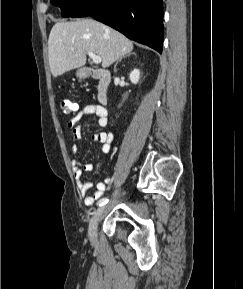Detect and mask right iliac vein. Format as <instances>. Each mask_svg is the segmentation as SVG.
I'll return each instance as SVG.
<instances>
[{"mask_svg":"<svg viewBox=\"0 0 243 289\" xmlns=\"http://www.w3.org/2000/svg\"><path fill=\"white\" fill-rule=\"evenodd\" d=\"M104 212H105V206L98 208L90 220L88 234H89L90 239L92 240L96 239L98 224Z\"/></svg>","mask_w":243,"mask_h":289,"instance_id":"63e3f726","label":"right iliac vein"}]
</instances>
